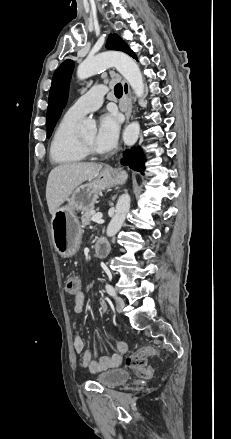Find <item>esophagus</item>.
<instances>
[{"label": "esophagus", "instance_id": "34e87169", "mask_svg": "<svg viewBox=\"0 0 231 439\" xmlns=\"http://www.w3.org/2000/svg\"><path fill=\"white\" fill-rule=\"evenodd\" d=\"M123 95L126 101V124L129 122L132 113V94L130 86L126 80H123Z\"/></svg>", "mask_w": 231, "mask_h": 439}]
</instances>
